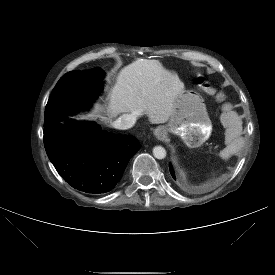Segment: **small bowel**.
Here are the masks:
<instances>
[{"label": "small bowel", "mask_w": 275, "mask_h": 275, "mask_svg": "<svg viewBox=\"0 0 275 275\" xmlns=\"http://www.w3.org/2000/svg\"><path fill=\"white\" fill-rule=\"evenodd\" d=\"M225 112L222 114V121L226 131L227 147L220 151V157L228 159L231 155L241 149V131L242 123L235 112L231 111V106H225Z\"/></svg>", "instance_id": "obj_1"}]
</instances>
